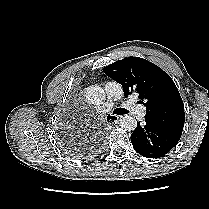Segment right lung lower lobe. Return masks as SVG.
<instances>
[{
	"label": "right lung lower lobe",
	"mask_w": 209,
	"mask_h": 209,
	"mask_svg": "<svg viewBox=\"0 0 209 209\" xmlns=\"http://www.w3.org/2000/svg\"><path fill=\"white\" fill-rule=\"evenodd\" d=\"M96 137H97V138H95V140L97 141V144H101V142H102V137H101L99 134H98ZM97 146H98V145H97ZM93 148H94V147L85 146V147L83 148V150H84L85 152H88V151H92ZM75 151L77 152V150H75Z\"/></svg>",
	"instance_id": "1"
}]
</instances>
